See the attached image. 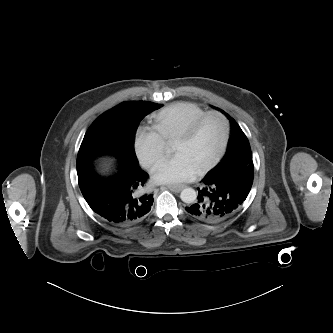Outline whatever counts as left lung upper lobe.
Wrapping results in <instances>:
<instances>
[{
  "instance_id": "1",
  "label": "left lung upper lobe",
  "mask_w": 333,
  "mask_h": 333,
  "mask_svg": "<svg viewBox=\"0 0 333 333\" xmlns=\"http://www.w3.org/2000/svg\"><path fill=\"white\" fill-rule=\"evenodd\" d=\"M223 113L228 117L232 125L233 133L230 147L221 162L210 170L207 175L216 177L232 168H246L253 171L252 153L246 135L232 117L225 112Z\"/></svg>"
}]
</instances>
